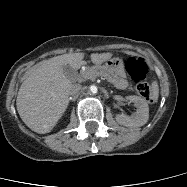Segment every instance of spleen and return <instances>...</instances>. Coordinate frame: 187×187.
Returning <instances> with one entry per match:
<instances>
[{
    "label": "spleen",
    "instance_id": "3e777b00",
    "mask_svg": "<svg viewBox=\"0 0 187 187\" xmlns=\"http://www.w3.org/2000/svg\"><path fill=\"white\" fill-rule=\"evenodd\" d=\"M152 92H153V99L154 101H157L158 95H159V88L156 81L152 82Z\"/></svg>",
    "mask_w": 187,
    "mask_h": 187
}]
</instances>
